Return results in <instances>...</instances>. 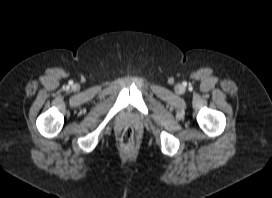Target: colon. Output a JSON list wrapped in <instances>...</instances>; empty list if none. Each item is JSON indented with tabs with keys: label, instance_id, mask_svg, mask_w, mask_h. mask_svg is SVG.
<instances>
[{
	"label": "colon",
	"instance_id": "5ec220e1",
	"mask_svg": "<svg viewBox=\"0 0 272 198\" xmlns=\"http://www.w3.org/2000/svg\"><path fill=\"white\" fill-rule=\"evenodd\" d=\"M134 143V131L132 128L127 127L123 130L121 135V144L124 147H129Z\"/></svg>",
	"mask_w": 272,
	"mask_h": 198
}]
</instances>
